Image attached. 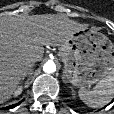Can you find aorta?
Instances as JSON below:
<instances>
[{
	"label": "aorta",
	"mask_w": 114,
	"mask_h": 114,
	"mask_svg": "<svg viewBox=\"0 0 114 114\" xmlns=\"http://www.w3.org/2000/svg\"><path fill=\"white\" fill-rule=\"evenodd\" d=\"M43 70L46 73H53L56 71V65L53 61H48L44 64Z\"/></svg>",
	"instance_id": "aorta-1"
}]
</instances>
